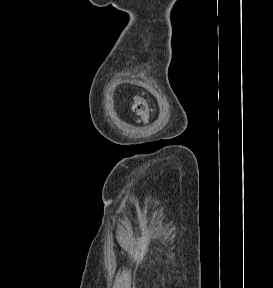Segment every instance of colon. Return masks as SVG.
I'll return each instance as SVG.
<instances>
[{
    "label": "colon",
    "mask_w": 273,
    "mask_h": 288,
    "mask_svg": "<svg viewBox=\"0 0 273 288\" xmlns=\"http://www.w3.org/2000/svg\"><path fill=\"white\" fill-rule=\"evenodd\" d=\"M133 111L143 122H147L150 115V105L143 96H135L133 101Z\"/></svg>",
    "instance_id": "1"
}]
</instances>
